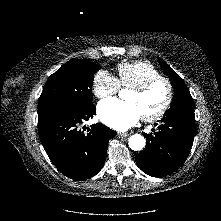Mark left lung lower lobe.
I'll return each instance as SVG.
<instances>
[{"instance_id": "0a47b994", "label": "left lung lower lobe", "mask_w": 221, "mask_h": 221, "mask_svg": "<svg viewBox=\"0 0 221 221\" xmlns=\"http://www.w3.org/2000/svg\"><path fill=\"white\" fill-rule=\"evenodd\" d=\"M159 131L146 136V147L136 156L138 167L153 177L177 170L187 159L195 135L194 115L164 116Z\"/></svg>"}]
</instances>
